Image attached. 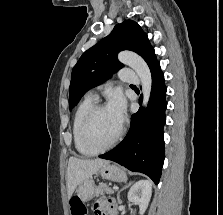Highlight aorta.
<instances>
[{"label":"aorta","instance_id":"obj_1","mask_svg":"<svg viewBox=\"0 0 223 215\" xmlns=\"http://www.w3.org/2000/svg\"><path fill=\"white\" fill-rule=\"evenodd\" d=\"M118 58L122 64H126V66L138 73L143 92V106H147L150 98L152 78L146 62H144L141 56L134 54V52H120Z\"/></svg>","mask_w":223,"mask_h":215}]
</instances>
